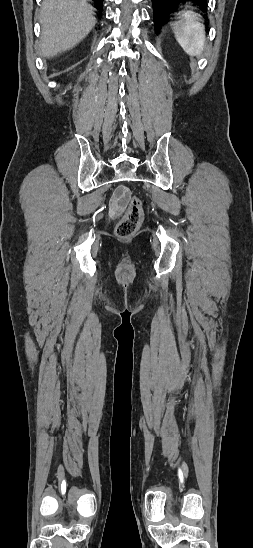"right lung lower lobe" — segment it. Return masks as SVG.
<instances>
[{"mask_svg": "<svg viewBox=\"0 0 253 548\" xmlns=\"http://www.w3.org/2000/svg\"><path fill=\"white\" fill-rule=\"evenodd\" d=\"M100 8H102L103 0H93Z\"/></svg>", "mask_w": 253, "mask_h": 548, "instance_id": "right-lung-lower-lobe-1", "label": "right lung lower lobe"}]
</instances>
